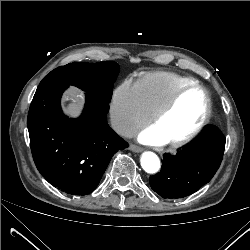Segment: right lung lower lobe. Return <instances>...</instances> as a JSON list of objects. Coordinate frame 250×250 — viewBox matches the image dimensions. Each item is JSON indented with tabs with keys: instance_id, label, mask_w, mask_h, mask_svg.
<instances>
[{
	"instance_id": "1",
	"label": "right lung lower lobe",
	"mask_w": 250,
	"mask_h": 250,
	"mask_svg": "<svg viewBox=\"0 0 250 250\" xmlns=\"http://www.w3.org/2000/svg\"><path fill=\"white\" fill-rule=\"evenodd\" d=\"M65 84L36 90L27 125L35 165L48 182L72 195H87L99 184L110 159L128 144L107 124L109 103L86 93L82 115L69 119L61 110Z\"/></svg>"
}]
</instances>
